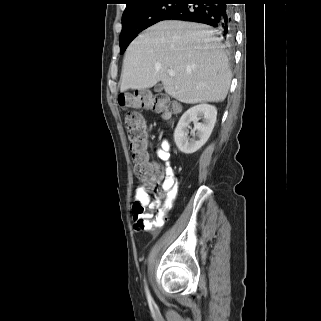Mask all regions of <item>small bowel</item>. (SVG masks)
Here are the masks:
<instances>
[{"label":"small bowel","instance_id":"small-bowel-1","mask_svg":"<svg viewBox=\"0 0 321 321\" xmlns=\"http://www.w3.org/2000/svg\"><path fill=\"white\" fill-rule=\"evenodd\" d=\"M157 158L164 162V167H160V174L157 182H161V193L153 201L144 185L138 186L134 194L133 204V221L134 228L137 231H150L153 235H157L159 230L166 222V216L163 211H169L178 194V183L174 170L170 164V145L167 140H162L159 149L156 152ZM135 205L143 208L142 212L135 211ZM149 207L151 210L160 209V212L153 216L150 212H145L144 208Z\"/></svg>","mask_w":321,"mask_h":321}]
</instances>
